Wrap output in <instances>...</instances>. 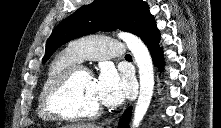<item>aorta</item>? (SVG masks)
Wrapping results in <instances>:
<instances>
[{"label":"aorta","mask_w":221,"mask_h":128,"mask_svg":"<svg viewBox=\"0 0 221 128\" xmlns=\"http://www.w3.org/2000/svg\"><path fill=\"white\" fill-rule=\"evenodd\" d=\"M118 37L123 40L132 52L139 69L140 93L134 110L132 127L138 128L150 105L154 90V71L152 58L148 48L137 36L120 32Z\"/></svg>","instance_id":"aorta-1"}]
</instances>
